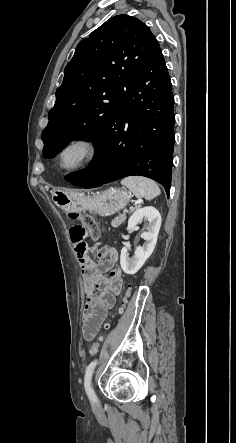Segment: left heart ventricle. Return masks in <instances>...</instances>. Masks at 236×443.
I'll return each mask as SVG.
<instances>
[{
    "instance_id": "left-heart-ventricle-1",
    "label": "left heart ventricle",
    "mask_w": 236,
    "mask_h": 443,
    "mask_svg": "<svg viewBox=\"0 0 236 443\" xmlns=\"http://www.w3.org/2000/svg\"><path fill=\"white\" fill-rule=\"evenodd\" d=\"M83 156L81 148L74 147L68 150L64 155V165L70 166L76 164Z\"/></svg>"
}]
</instances>
